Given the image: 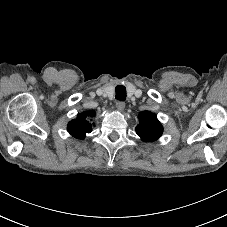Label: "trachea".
<instances>
[{"mask_svg":"<svg viewBox=\"0 0 227 227\" xmlns=\"http://www.w3.org/2000/svg\"><path fill=\"white\" fill-rule=\"evenodd\" d=\"M115 90H116L115 98L117 100L124 101L126 99V88L124 86H117Z\"/></svg>","mask_w":227,"mask_h":227,"instance_id":"1","label":"trachea"}]
</instances>
